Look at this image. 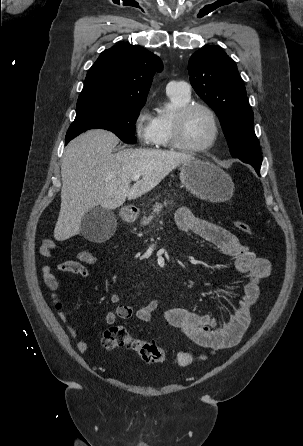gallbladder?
Instances as JSON below:
<instances>
[{"label":"gallbladder","instance_id":"obj_1","mask_svg":"<svg viewBox=\"0 0 303 446\" xmlns=\"http://www.w3.org/2000/svg\"><path fill=\"white\" fill-rule=\"evenodd\" d=\"M116 224L112 211L97 206L83 217L80 233L90 241L101 242L107 240L114 233Z\"/></svg>","mask_w":303,"mask_h":446}]
</instances>
